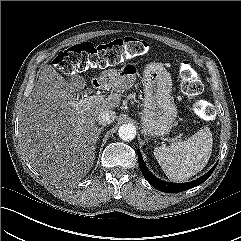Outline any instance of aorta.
Returning <instances> with one entry per match:
<instances>
[{
    "label": "aorta",
    "mask_w": 241,
    "mask_h": 241,
    "mask_svg": "<svg viewBox=\"0 0 241 241\" xmlns=\"http://www.w3.org/2000/svg\"><path fill=\"white\" fill-rule=\"evenodd\" d=\"M118 135L124 141H131L136 136V128L133 124H123L119 127Z\"/></svg>",
    "instance_id": "762f6f07"
}]
</instances>
